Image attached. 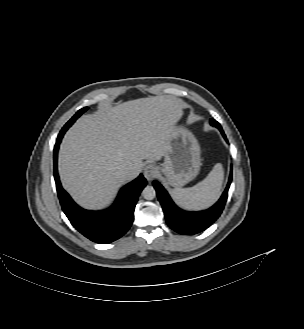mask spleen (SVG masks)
Here are the masks:
<instances>
[{
	"mask_svg": "<svg viewBox=\"0 0 304 329\" xmlns=\"http://www.w3.org/2000/svg\"><path fill=\"white\" fill-rule=\"evenodd\" d=\"M223 178L222 164L217 163L204 180L190 188H174L171 196L184 209H205L218 199Z\"/></svg>",
	"mask_w": 304,
	"mask_h": 329,
	"instance_id": "obj_1",
	"label": "spleen"
}]
</instances>
